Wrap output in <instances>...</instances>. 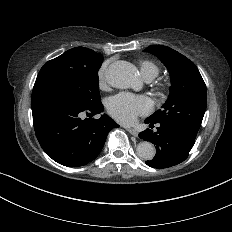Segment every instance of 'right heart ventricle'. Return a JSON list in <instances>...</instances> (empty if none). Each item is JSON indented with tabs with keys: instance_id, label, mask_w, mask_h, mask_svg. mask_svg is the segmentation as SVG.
I'll use <instances>...</instances> for the list:
<instances>
[{
	"instance_id": "right-heart-ventricle-1",
	"label": "right heart ventricle",
	"mask_w": 232,
	"mask_h": 232,
	"mask_svg": "<svg viewBox=\"0 0 232 232\" xmlns=\"http://www.w3.org/2000/svg\"><path fill=\"white\" fill-rule=\"evenodd\" d=\"M140 74L145 81L150 82L158 76L159 69L155 63L143 60L140 64Z\"/></svg>"
}]
</instances>
